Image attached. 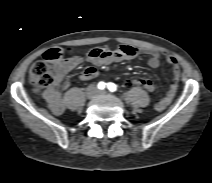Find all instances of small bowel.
I'll list each match as a JSON object with an SVG mask.
<instances>
[{"instance_id":"obj_1","label":"small bowel","mask_w":212,"mask_h":183,"mask_svg":"<svg viewBox=\"0 0 212 183\" xmlns=\"http://www.w3.org/2000/svg\"><path fill=\"white\" fill-rule=\"evenodd\" d=\"M139 55H148L149 56L148 65L152 68H158L160 66L161 64L160 58L162 55H164L167 62L172 67L174 82L170 85L166 94L155 104V109L157 111H163L172 102L177 92L178 81L180 76L178 62L172 54L164 52L154 47L136 48L130 45H121L116 48H110V47L93 48L89 51L87 59L92 64L100 66L104 64H110L113 62H120L124 60L134 59ZM82 60L83 59L79 56H73L67 59H63L57 63L55 67V85L58 88L67 89L69 87L70 83L65 78V76L72 69L77 67L82 62ZM97 74L98 72L96 68L87 67L81 72L80 79L90 80L95 78ZM154 89L155 85L152 82V86L148 91H153ZM43 98L45 99L49 109L54 114H61L65 110V103L62 94L56 87H51L45 90V92L43 93Z\"/></svg>"}]
</instances>
